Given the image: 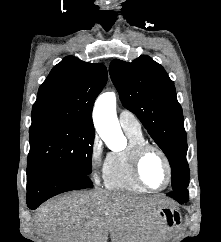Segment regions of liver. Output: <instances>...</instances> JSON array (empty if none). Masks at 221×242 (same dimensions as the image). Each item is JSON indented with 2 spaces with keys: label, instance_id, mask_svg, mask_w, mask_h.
Returning <instances> with one entry per match:
<instances>
[{
  "label": "liver",
  "instance_id": "6515ba94",
  "mask_svg": "<svg viewBox=\"0 0 221 242\" xmlns=\"http://www.w3.org/2000/svg\"><path fill=\"white\" fill-rule=\"evenodd\" d=\"M167 201L104 190L71 192L41 205L33 219L47 242H156Z\"/></svg>",
  "mask_w": 221,
  "mask_h": 242
}]
</instances>
